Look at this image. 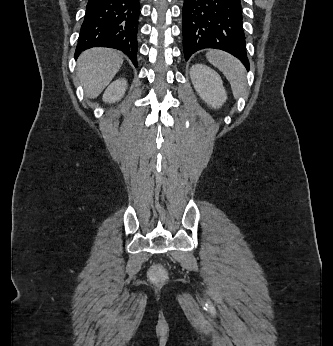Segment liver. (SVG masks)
<instances>
[{
    "label": "liver",
    "instance_id": "1",
    "mask_svg": "<svg viewBox=\"0 0 333 346\" xmlns=\"http://www.w3.org/2000/svg\"><path fill=\"white\" fill-rule=\"evenodd\" d=\"M123 64V55L108 48H91L77 61V75L89 98H96Z\"/></svg>",
    "mask_w": 333,
    "mask_h": 346
}]
</instances>
